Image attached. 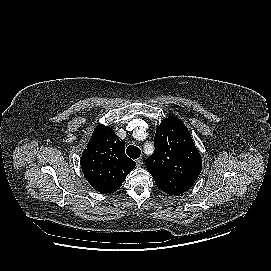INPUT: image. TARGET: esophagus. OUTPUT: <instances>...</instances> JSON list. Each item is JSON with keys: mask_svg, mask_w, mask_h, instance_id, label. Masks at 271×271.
Wrapping results in <instances>:
<instances>
[{"mask_svg": "<svg viewBox=\"0 0 271 271\" xmlns=\"http://www.w3.org/2000/svg\"><path fill=\"white\" fill-rule=\"evenodd\" d=\"M143 165V159L140 157L136 160V166L141 167Z\"/></svg>", "mask_w": 271, "mask_h": 271, "instance_id": "obj_1", "label": "esophagus"}]
</instances>
